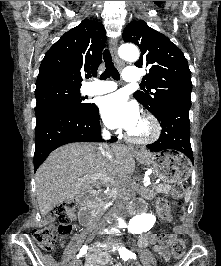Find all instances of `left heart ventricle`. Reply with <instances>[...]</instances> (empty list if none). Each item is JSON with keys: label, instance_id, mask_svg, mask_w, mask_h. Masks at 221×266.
<instances>
[{"label": "left heart ventricle", "instance_id": "b2bd125f", "mask_svg": "<svg viewBox=\"0 0 221 266\" xmlns=\"http://www.w3.org/2000/svg\"><path fill=\"white\" fill-rule=\"evenodd\" d=\"M131 132L135 134H144L146 132V127L144 123L141 121L138 126H136Z\"/></svg>", "mask_w": 221, "mask_h": 266}]
</instances>
